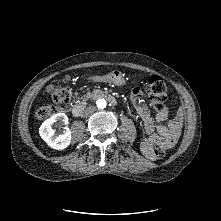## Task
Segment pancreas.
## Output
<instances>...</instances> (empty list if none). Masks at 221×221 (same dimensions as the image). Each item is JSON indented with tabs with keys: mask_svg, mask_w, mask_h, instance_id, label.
I'll use <instances>...</instances> for the list:
<instances>
[{
	"mask_svg": "<svg viewBox=\"0 0 221 221\" xmlns=\"http://www.w3.org/2000/svg\"><path fill=\"white\" fill-rule=\"evenodd\" d=\"M88 96H89V95H85V96H84V97H82L81 99H83V100H84V99L88 98Z\"/></svg>",
	"mask_w": 221,
	"mask_h": 221,
	"instance_id": "pancreas-1",
	"label": "pancreas"
}]
</instances>
